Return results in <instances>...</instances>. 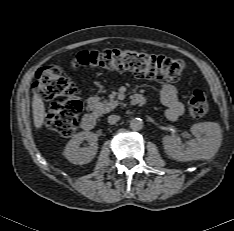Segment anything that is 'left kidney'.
Segmentation results:
<instances>
[{"label": "left kidney", "instance_id": "5707ae66", "mask_svg": "<svg viewBox=\"0 0 234 231\" xmlns=\"http://www.w3.org/2000/svg\"><path fill=\"white\" fill-rule=\"evenodd\" d=\"M191 132L196 138L190 140L186 148L171 136L163 137V147L170 158L191 161L209 159L215 155L222 143V130L219 124L214 122L193 124Z\"/></svg>", "mask_w": 234, "mask_h": 231}]
</instances>
